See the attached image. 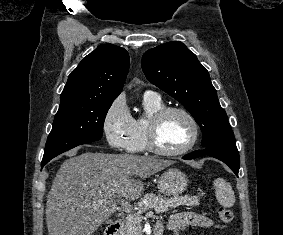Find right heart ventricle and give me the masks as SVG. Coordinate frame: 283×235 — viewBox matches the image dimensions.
Wrapping results in <instances>:
<instances>
[{
    "mask_svg": "<svg viewBox=\"0 0 283 235\" xmlns=\"http://www.w3.org/2000/svg\"><path fill=\"white\" fill-rule=\"evenodd\" d=\"M143 106L146 112L144 118H132L130 132L126 141V149L131 153L146 151L145 129L149 118L165 107L162 99L155 94H144Z\"/></svg>",
    "mask_w": 283,
    "mask_h": 235,
    "instance_id": "right-heart-ventricle-1",
    "label": "right heart ventricle"
}]
</instances>
